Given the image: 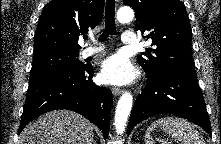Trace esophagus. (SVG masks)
I'll return each mask as SVG.
<instances>
[{
	"mask_svg": "<svg viewBox=\"0 0 221 144\" xmlns=\"http://www.w3.org/2000/svg\"><path fill=\"white\" fill-rule=\"evenodd\" d=\"M122 92H123V89H121V88H118V87H113V88H112V93H113L115 96L120 95Z\"/></svg>",
	"mask_w": 221,
	"mask_h": 144,
	"instance_id": "1",
	"label": "esophagus"
}]
</instances>
